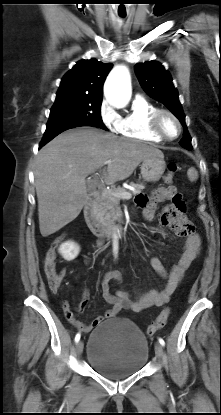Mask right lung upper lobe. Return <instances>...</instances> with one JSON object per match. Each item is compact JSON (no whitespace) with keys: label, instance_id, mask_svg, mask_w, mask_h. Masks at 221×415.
I'll use <instances>...</instances> for the list:
<instances>
[{"label":"right lung upper lobe","instance_id":"obj_1","mask_svg":"<svg viewBox=\"0 0 221 415\" xmlns=\"http://www.w3.org/2000/svg\"><path fill=\"white\" fill-rule=\"evenodd\" d=\"M111 63L96 59L80 60L61 80L57 95L75 94L102 98L103 84Z\"/></svg>","mask_w":221,"mask_h":415}]
</instances>
